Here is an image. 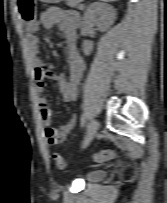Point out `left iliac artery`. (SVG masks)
<instances>
[{"instance_id":"left-iliac-artery-1","label":"left iliac artery","mask_w":167,"mask_h":203,"mask_svg":"<svg viewBox=\"0 0 167 203\" xmlns=\"http://www.w3.org/2000/svg\"><path fill=\"white\" fill-rule=\"evenodd\" d=\"M85 122H86V117H85V115L83 114V115L81 116V119H80V123H81V126H82V127L85 125Z\"/></svg>"}]
</instances>
